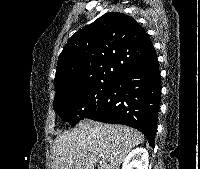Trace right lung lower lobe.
I'll return each instance as SVG.
<instances>
[{
  "label": "right lung lower lobe",
  "instance_id": "right-lung-lower-lobe-1",
  "mask_svg": "<svg viewBox=\"0 0 200 169\" xmlns=\"http://www.w3.org/2000/svg\"><path fill=\"white\" fill-rule=\"evenodd\" d=\"M161 79L158 60L119 76L102 106L86 119L141 131L154 148Z\"/></svg>",
  "mask_w": 200,
  "mask_h": 169
}]
</instances>
